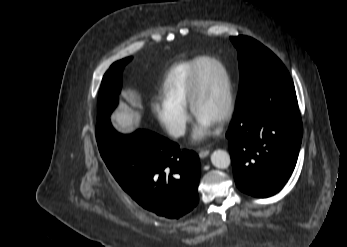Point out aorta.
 Returning <instances> with one entry per match:
<instances>
[{
	"instance_id": "obj_1",
	"label": "aorta",
	"mask_w": 347,
	"mask_h": 247,
	"mask_svg": "<svg viewBox=\"0 0 347 247\" xmlns=\"http://www.w3.org/2000/svg\"><path fill=\"white\" fill-rule=\"evenodd\" d=\"M212 164L219 169H226L231 163L230 155L228 152L218 149L211 154Z\"/></svg>"
}]
</instances>
